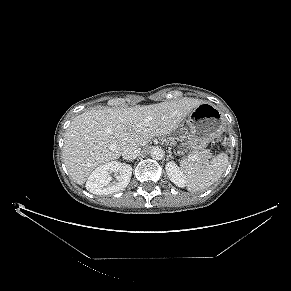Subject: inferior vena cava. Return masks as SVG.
<instances>
[{
    "mask_svg": "<svg viewBox=\"0 0 291 291\" xmlns=\"http://www.w3.org/2000/svg\"><path fill=\"white\" fill-rule=\"evenodd\" d=\"M141 148L137 145L128 144L122 148V157L125 160L132 161L140 154Z\"/></svg>",
    "mask_w": 291,
    "mask_h": 291,
    "instance_id": "1",
    "label": "inferior vena cava"
}]
</instances>
